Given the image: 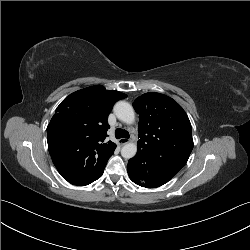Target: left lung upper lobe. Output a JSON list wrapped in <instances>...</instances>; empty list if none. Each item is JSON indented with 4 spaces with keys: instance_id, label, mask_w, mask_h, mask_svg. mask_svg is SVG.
I'll return each instance as SVG.
<instances>
[{
    "instance_id": "1",
    "label": "left lung upper lobe",
    "mask_w": 250,
    "mask_h": 250,
    "mask_svg": "<svg viewBox=\"0 0 250 250\" xmlns=\"http://www.w3.org/2000/svg\"><path fill=\"white\" fill-rule=\"evenodd\" d=\"M139 114L138 151L151 162L180 170L193 149L191 124L183 108L160 93H145L133 103Z\"/></svg>"
}]
</instances>
